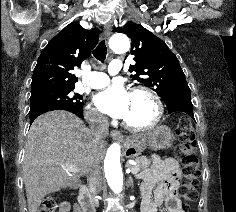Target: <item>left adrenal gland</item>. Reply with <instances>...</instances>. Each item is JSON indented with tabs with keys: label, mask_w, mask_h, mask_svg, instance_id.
Wrapping results in <instances>:
<instances>
[{
	"label": "left adrenal gland",
	"mask_w": 236,
	"mask_h": 212,
	"mask_svg": "<svg viewBox=\"0 0 236 212\" xmlns=\"http://www.w3.org/2000/svg\"><path fill=\"white\" fill-rule=\"evenodd\" d=\"M128 183H129V185H131L133 187V179H132V177H129Z\"/></svg>",
	"instance_id": "a2214340"
}]
</instances>
